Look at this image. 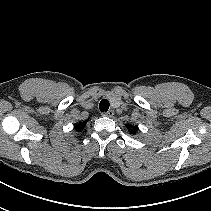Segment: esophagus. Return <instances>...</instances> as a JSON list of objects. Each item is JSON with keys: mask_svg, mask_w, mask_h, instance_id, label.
I'll use <instances>...</instances> for the list:
<instances>
[{"mask_svg": "<svg viewBox=\"0 0 211 211\" xmlns=\"http://www.w3.org/2000/svg\"><path fill=\"white\" fill-rule=\"evenodd\" d=\"M114 115V111L113 110H109L107 112H103L102 116L104 117H112Z\"/></svg>", "mask_w": 211, "mask_h": 211, "instance_id": "1", "label": "esophagus"}]
</instances>
